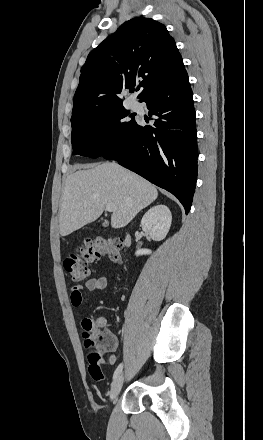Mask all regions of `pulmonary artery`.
<instances>
[{
    "instance_id": "obj_1",
    "label": "pulmonary artery",
    "mask_w": 263,
    "mask_h": 440,
    "mask_svg": "<svg viewBox=\"0 0 263 440\" xmlns=\"http://www.w3.org/2000/svg\"><path fill=\"white\" fill-rule=\"evenodd\" d=\"M131 108L134 110H139L140 104L137 101L133 100V101H131Z\"/></svg>"
}]
</instances>
